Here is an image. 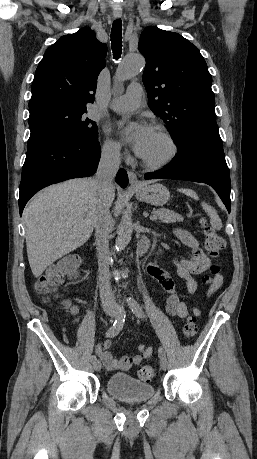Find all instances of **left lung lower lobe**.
<instances>
[{"instance_id":"1","label":"left lung lower lobe","mask_w":257,"mask_h":459,"mask_svg":"<svg viewBox=\"0 0 257 459\" xmlns=\"http://www.w3.org/2000/svg\"><path fill=\"white\" fill-rule=\"evenodd\" d=\"M177 149V156L168 166L146 173L144 178L206 183L216 190L230 212V175L216 121L193 125Z\"/></svg>"}]
</instances>
